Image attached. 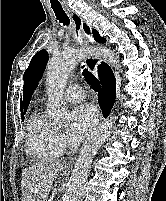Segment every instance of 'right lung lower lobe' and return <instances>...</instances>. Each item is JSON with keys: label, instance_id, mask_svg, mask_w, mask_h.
I'll return each instance as SVG.
<instances>
[{"label": "right lung lower lobe", "instance_id": "right-lung-lower-lobe-1", "mask_svg": "<svg viewBox=\"0 0 166 201\" xmlns=\"http://www.w3.org/2000/svg\"><path fill=\"white\" fill-rule=\"evenodd\" d=\"M99 77L102 83V90L98 94V100L103 112L107 117L115 101V78L111 69L104 63L99 69Z\"/></svg>", "mask_w": 166, "mask_h": 201}]
</instances>
